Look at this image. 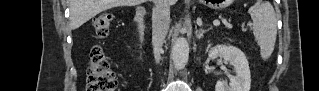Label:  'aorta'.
I'll return each instance as SVG.
<instances>
[{
    "mask_svg": "<svg viewBox=\"0 0 319 91\" xmlns=\"http://www.w3.org/2000/svg\"><path fill=\"white\" fill-rule=\"evenodd\" d=\"M189 57V45L184 37H178L172 48V60L174 67L181 70L185 67Z\"/></svg>",
    "mask_w": 319,
    "mask_h": 91,
    "instance_id": "762f6f07",
    "label": "aorta"
}]
</instances>
